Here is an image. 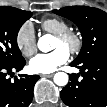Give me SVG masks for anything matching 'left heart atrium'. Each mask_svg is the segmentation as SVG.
<instances>
[{"label": "left heart atrium", "mask_w": 107, "mask_h": 107, "mask_svg": "<svg viewBox=\"0 0 107 107\" xmlns=\"http://www.w3.org/2000/svg\"><path fill=\"white\" fill-rule=\"evenodd\" d=\"M69 59V52L57 48L50 53L39 54L30 61V68L35 73L47 74L55 71Z\"/></svg>", "instance_id": "1"}]
</instances>
